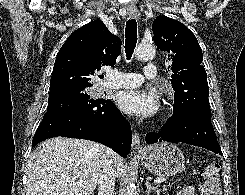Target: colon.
Segmentation results:
<instances>
[{"label":"colon","mask_w":245,"mask_h":195,"mask_svg":"<svg viewBox=\"0 0 245 195\" xmlns=\"http://www.w3.org/2000/svg\"><path fill=\"white\" fill-rule=\"evenodd\" d=\"M201 195H221L220 181L216 174L205 173L204 182L200 187Z\"/></svg>","instance_id":"obj_1"}]
</instances>
